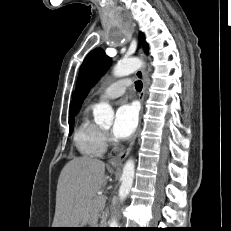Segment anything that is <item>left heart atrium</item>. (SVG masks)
I'll return each mask as SVG.
<instances>
[{
	"instance_id": "obj_1",
	"label": "left heart atrium",
	"mask_w": 231,
	"mask_h": 231,
	"mask_svg": "<svg viewBox=\"0 0 231 231\" xmlns=\"http://www.w3.org/2000/svg\"><path fill=\"white\" fill-rule=\"evenodd\" d=\"M137 124V108L133 104L122 103L115 114L112 134L116 139H126L135 131Z\"/></svg>"
}]
</instances>
